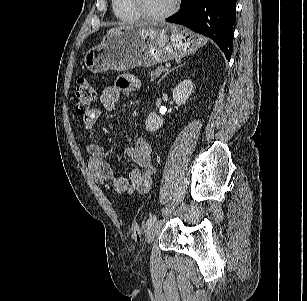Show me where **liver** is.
Here are the masks:
<instances>
[{
    "label": "liver",
    "mask_w": 307,
    "mask_h": 301,
    "mask_svg": "<svg viewBox=\"0 0 307 301\" xmlns=\"http://www.w3.org/2000/svg\"><path fill=\"white\" fill-rule=\"evenodd\" d=\"M112 30H114V29L109 30L108 33L111 32Z\"/></svg>",
    "instance_id": "obj_1"
}]
</instances>
